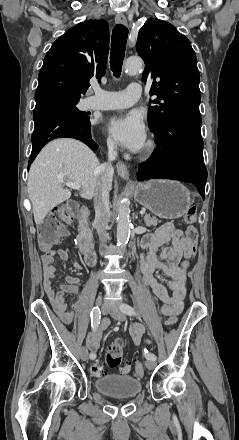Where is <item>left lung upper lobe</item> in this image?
Instances as JSON below:
<instances>
[{"label": "left lung upper lobe", "mask_w": 239, "mask_h": 440, "mask_svg": "<svg viewBox=\"0 0 239 440\" xmlns=\"http://www.w3.org/2000/svg\"><path fill=\"white\" fill-rule=\"evenodd\" d=\"M136 49L145 62L142 81L154 79L150 95L157 98L150 100L151 130H158L167 118L177 113L199 112L200 76L187 37L170 23L150 18L139 30Z\"/></svg>", "instance_id": "5c2ea615"}]
</instances>
